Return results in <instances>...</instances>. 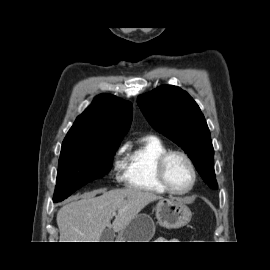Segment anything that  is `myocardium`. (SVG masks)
Here are the masks:
<instances>
[{"label": "myocardium", "instance_id": "1", "mask_svg": "<svg viewBox=\"0 0 270 270\" xmlns=\"http://www.w3.org/2000/svg\"><path fill=\"white\" fill-rule=\"evenodd\" d=\"M175 155L182 157L187 162L192 172V182L190 186L186 188L185 190H177L173 188L167 178V173H166L167 162L172 156H175ZM156 174H157L158 181L163 186V188L167 192L171 194H175V195L188 194L195 187L196 182H197V170H196L195 164L193 160L191 159V157L182 150H167L165 153H163L157 160Z\"/></svg>", "mask_w": 270, "mask_h": 270}]
</instances>
